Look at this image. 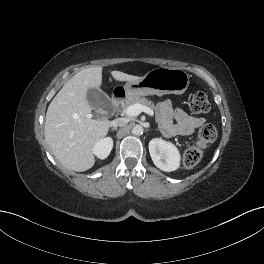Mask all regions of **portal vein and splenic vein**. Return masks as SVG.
<instances>
[{"label": "portal vein and splenic vein", "instance_id": "portal-vein-and-splenic-vein-1", "mask_svg": "<svg viewBox=\"0 0 264 264\" xmlns=\"http://www.w3.org/2000/svg\"><path fill=\"white\" fill-rule=\"evenodd\" d=\"M141 112H145L150 116L154 115V112L151 108H149L147 106H143L141 104L131 105L125 110V113L128 116H138Z\"/></svg>", "mask_w": 264, "mask_h": 264}]
</instances>
